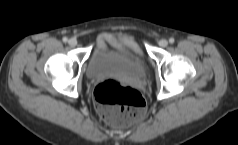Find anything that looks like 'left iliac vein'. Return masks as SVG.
Segmentation results:
<instances>
[{
  "label": "left iliac vein",
  "mask_w": 238,
  "mask_h": 145,
  "mask_svg": "<svg viewBox=\"0 0 238 145\" xmlns=\"http://www.w3.org/2000/svg\"><path fill=\"white\" fill-rule=\"evenodd\" d=\"M159 45H160L161 47H166V46L168 45V41H167L166 39H161V40L159 41Z\"/></svg>",
  "instance_id": "left-iliac-vein-1"
}]
</instances>
